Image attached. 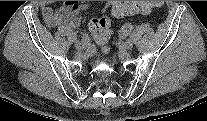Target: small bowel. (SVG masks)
Listing matches in <instances>:
<instances>
[{
	"label": "small bowel",
	"instance_id": "obj_1",
	"mask_svg": "<svg viewBox=\"0 0 207 121\" xmlns=\"http://www.w3.org/2000/svg\"><path fill=\"white\" fill-rule=\"evenodd\" d=\"M115 3L116 1H111L108 6L112 7ZM52 4V1H43L41 4L44 21L51 28L57 26L77 27L80 22L81 12L88 7L78 1H65L59 9H54Z\"/></svg>",
	"mask_w": 207,
	"mask_h": 121
}]
</instances>
